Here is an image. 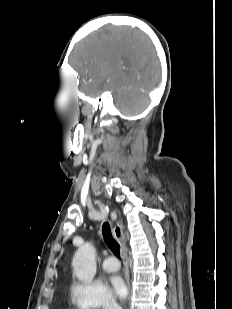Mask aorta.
Returning <instances> with one entry per match:
<instances>
[{
  "mask_svg": "<svg viewBox=\"0 0 232 309\" xmlns=\"http://www.w3.org/2000/svg\"><path fill=\"white\" fill-rule=\"evenodd\" d=\"M96 251L92 243H85L75 253L74 274L81 281H91L96 274Z\"/></svg>",
  "mask_w": 232,
  "mask_h": 309,
  "instance_id": "1",
  "label": "aorta"
}]
</instances>
